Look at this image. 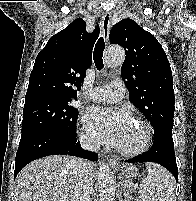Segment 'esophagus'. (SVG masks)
Segmentation results:
<instances>
[{"label": "esophagus", "mask_w": 196, "mask_h": 201, "mask_svg": "<svg viewBox=\"0 0 196 201\" xmlns=\"http://www.w3.org/2000/svg\"><path fill=\"white\" fill-rule=\"evenodd\" d=\"M110 22H111V14L108 12L104 13L101 19V23H102V35L106 42L109 39ZM109 163L112 165H117L118 161L110 158Z\"/></svg>", "instance_id": "1"}]
</instances>
